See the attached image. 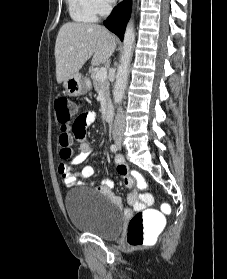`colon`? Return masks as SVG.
<instances>
[{"label": "colon", "instance_id": "1", "mask_svg": "<svg viewBox=\"0 0 227 279\" xmlns=\"http://www.w3.org/2000/svg\"><path fill=\"white\" fill-rule=\"evenodd\" d=\"M56 119L60 126L58 144L61 155L67 158L71 155V134L83 133L85 129V115L74 118V104L67 98H58L54 102ZM120 171H125L121 167ZM133 181L139 188H146V181L136 172ZM164 217L160 212L144 209L136 212L129 223L127 242L131 248L140 246L143 242L152 239L163 226Z\"/></svg>", "mask_w": 227, "mask_h": 279}]
</instances>
